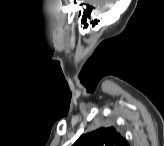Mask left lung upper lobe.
<instances>
[{"instance_id": "obj_1", "label": "left lung upper lobe", "mask_w": 164, "mask_h": 146, "mask_svg": "<svg viewBox=\"0 0 164 146\" xmlns=\"http://www.w3.org/2000/svg\"><path fill=\"white\" fill-rule=\"evenodd\" d=\"M73 146H128V143L115 128L101 127L81 135Z\"/></svg>"}]
</instances>
